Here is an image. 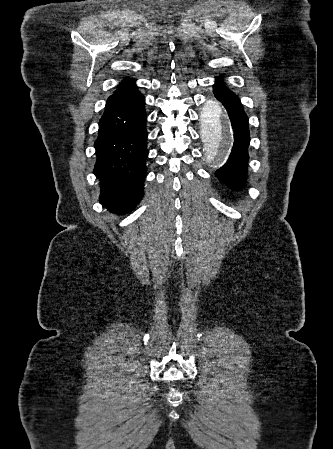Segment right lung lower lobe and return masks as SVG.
<instances>
[{
    "mask_svg": "<svg viewBox=\"0 0 333 449\" xmlns=\"http://www.w3.org/2000/svg\"><path fill=\"white\" fill-rule=\"evenodd\" d=\"M146 121L145 99L140 92L106 105L99 121L93 172L100 181V202L111 212H129L143 196Z\"/></svg>",
    "mask_w": 333,
    "mask_h": 449,
    "instance_id": "98d812e1",
    "label": "right lung lower lobe"
}]
</instances>
